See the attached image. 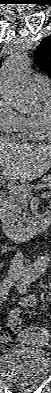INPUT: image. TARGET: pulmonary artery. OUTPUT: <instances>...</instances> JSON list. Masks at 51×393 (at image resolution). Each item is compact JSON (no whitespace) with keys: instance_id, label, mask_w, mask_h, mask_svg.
Masks as SVG:
<instances>
[{"instance_id":"1","label":"pulmonary artery","mask_w":51,"mask_h":393,"mask_svg":"<svg viewBox=\"0 0 51 393\" xmlns=\"http://www.w3.org/2000/svg\"><path fill=\"white\" fill-rule=\"evenodd\" d=\"M34 84L37 90L45 92L51 91L50 80L44 76L35 75Z\"/></svg>"}]
</instances>
